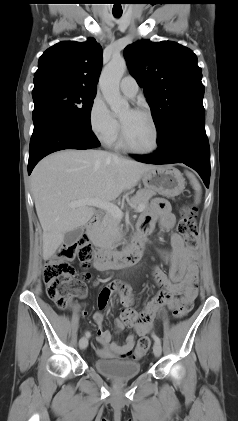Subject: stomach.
Segmentation results:
<instances>
[{
    "instance_id": "stomach-1",
    "label": "stomach",
    "mask_w": 238,
    "mask_h": 421,
    "mask_svg": "<svg viewBox=\"0 0 238 421\" xmlns=\"http://www.w3.org/2000/svg\"><path fill=\"white\" fill-rule=\"evenodd\" d=\"M142 180L147 189L168 197L179 195L185 188L183 175L172 166H153L143 174Z\"/></svg>"
}]
</instances>
